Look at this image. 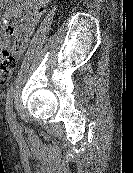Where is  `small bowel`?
Segmentation results:
<instances>
[{
	"label": "small bowel",
	"instance_id": "c3829d8e",
	"mask_svg": "<svg viewBox=\"0 0 133 173\" xmlns=\"http://www.w3.org/2000/svg\"><path fill=\"white\" fill-rule=\"evenodd\" d=\"M10 2L12 0H0V9ZM48 2L49 0H18L10 6L0 18V47L10 46V38L13 37L14 41L20 42L16 47V53L21 54ZM20 17H22L20 24L12 22Z\"/></svg>",
	"mask_w": 133,
	"mask_h": 173
}]
</instances>
